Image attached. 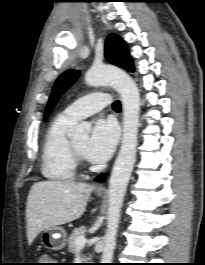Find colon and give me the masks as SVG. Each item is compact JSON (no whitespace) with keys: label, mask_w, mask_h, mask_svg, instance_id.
Returning a JSON list of instances; mask_svg holds the SVG:
<instances>
[{"label":"colon","mask_w":205,"mask_h":265,"mask_svg":"<svg viewBox=\"0 0 205 265\" xmlns=\"http://www.w3.org/2000/svg\"><path fill=\"white\" fill-rule=\"evenodd\" d=\"M41 259H47V257H41ZM41 264H48V263H41Z\"/></svg>","instance_id":"obj_1"}]
</instances>
